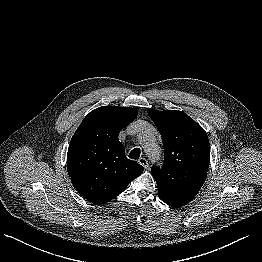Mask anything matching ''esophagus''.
I'll use <instances>...</instances> for the list:
<instances>
[{"label": "esophagus", "instance_id": "1", "mask_svg": "<svg viewBox=\"0 0 262 262\" xmlns=\"http://www.w3.org/2000/svg\"><path fill=\"white\" fill-rule=\"evenodd\" d=\"M138 162L146 169L148 168V160L145 158H140Z\"/></svg>", "mask_w": 262, "mask_h": 262}]
</instances>
